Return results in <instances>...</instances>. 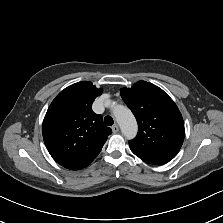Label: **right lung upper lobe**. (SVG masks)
Instances as JSON below:
<instances>
[{
  "instance_id": "1",
  "label": "right lung upper lobe",
  "mask_w": 223,
  "mask_h": 223,
  "mask_svg": "<svg viewBox=\"0 0 223 223\" xmlns=\"http://www.w3.org/2000/svg\"><path fill=\"white\" fill-rule=\"evenodd\" d=\"M102 93L89 81L62 90L52 101L43 121L44 143L61 166L78 170L87 167L100 153L112 133L92 103Z\"/></svg>"
}]
</instances>
